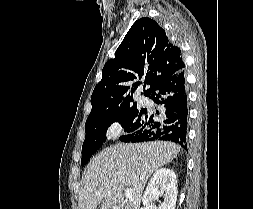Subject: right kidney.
Segmentation results:
<instances>
[{"label":"right kidney","mask_w":253,"mask_h":209,"mask_svg":"<svg viewBox=\"0 0 253 209\" xmlns=\"http://www.w3.org/2000/svg\"><path fill=\"white\" fill-rule=\"evenodd\" d=\"M163 196L164 201L158 208L154 200ZM177 201V180L173 170L167 168L158 169L144 192L142 202L144 209H175Z\"/></svg>","instance_id":"obj_1"}]
</instances>
